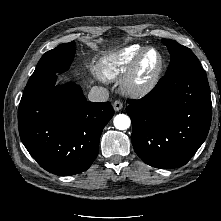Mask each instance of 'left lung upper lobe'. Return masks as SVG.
Masks as SVG:
<instances>
[{
  "label": "left lung upper lobe",
  "instance_id": "obj_1",
  "mask_svg": "<svg viewBox=\"0 0 221 221\" xmlns=\"http://www.w3.org/2000/svg\"><path fill=\"white\" fill-rule=\"evenodd\" d=\"M162 42L167 46L171 55V61L166 74L173 72L185 64L199 63V60L189 48L168 39H162Z\"/></svg>",
  "mask_w": 221,
  "mask_h": 221
}]
</instances>
